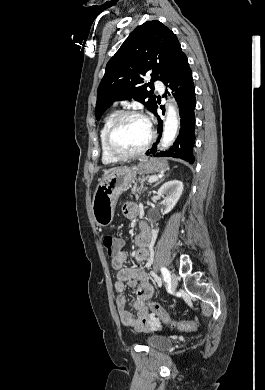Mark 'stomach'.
Instances as JSON below:
<instances>
[{
	"mask_svg": "<svg viewBox=\"0 0 265 390\" xmlns=\"http://www.w3.org/2000/svg\"><path fill=\"white\" fill-rule=\"evenodd\" d=\"M168 169L164 159L142 158L135 167L118 168L102 179L92 202L94 220L98 226L111 224L119 196L135 181L136 174H150Z\"/></svg>",
	"mask_w": 265,
	"mask_h": 390,
	"instance_id": "stomach-1",
	"label": "stomach"
}]
</instances>
